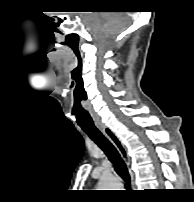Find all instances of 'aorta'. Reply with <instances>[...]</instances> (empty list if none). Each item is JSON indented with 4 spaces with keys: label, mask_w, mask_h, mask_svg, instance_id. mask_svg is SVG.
I'll return each instance as SVG.
<instances>
[{
    "label": "aorta",
    "mask_w": 194,
    "mask_h": 202,
    "mask_svg": "<svg viewBox=\"0 0 194 202\" xmlns=\"http://www.w3.org/2000/svg\"><path fill=\"white\" fill-rule=\"evenodd\" d=\"M120 186L119 181L113 176H103L98 184L99 190H117Z\"/></svg>",
    "instance_id": "aorta-1"
}]
</instances>
